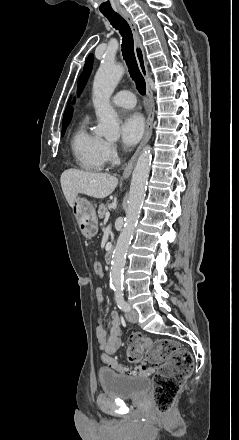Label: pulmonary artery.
Segmentation results:
<instances>
[{"instance_id":"e3ab8cb5","label":"pulmonary artery","mask_w":239,"mask_h":440,"mask_svg":"<svg viewBox=\"0 0 239 440\" xmlns=\"http://www.w3.org/2000/svg\"><path fill=\"white\" fill-rule=\"evenodd\" d=\"M112 103L119 107L132 108L136 104V98L130 91H120L112 98Z\"/></svg>"}]
</instances>
